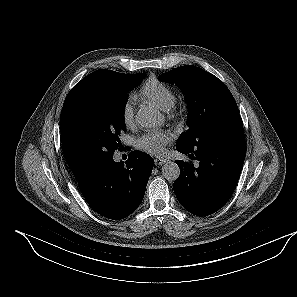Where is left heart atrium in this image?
<instances>
[{"label":"left heart atrium","instance_id":"1","mask_svg":"<svg viewBox=\"0 0 297 297\" xmlns=\"http://www.w3.org/2000/svg\"><path fill=\"white\" fill-rule=\"evenodd\" d=\"M172 139L173 135L168 130H149L136 140V146L147 153L160 155Z\"/></svg>","mask_w":297,"mask_h":297}]
</instances>
